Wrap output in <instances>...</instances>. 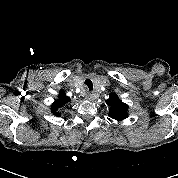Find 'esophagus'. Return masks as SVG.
Returning <instances> with one entry per match:
<instances>
[{
  "label": "esophagus",
  "mask_w": 178,
  "mask_h": 178,
  "mask_svg": "<svg viewBox=\"0 0 178 178\" xmlns=\"http://www.w3.org/2000/svg\"><path fill=\"white\" fill-rule=\"evenodd\" d=\"M87 98H88L89 100H94V96H93V94H91V93H89V94L87 95Z\"/></svg>",
  "instance_id": "34e87169"
}]
</instances>
